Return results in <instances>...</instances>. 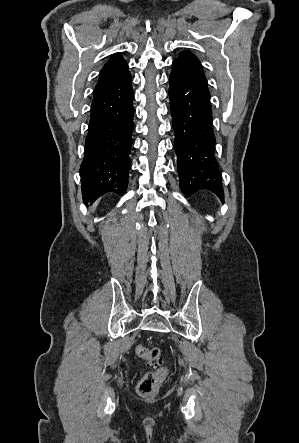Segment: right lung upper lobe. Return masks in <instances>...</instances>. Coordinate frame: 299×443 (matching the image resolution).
<instances>
[{
	"instance_id": "1",
	"label": "right lung upper lobe",
	"mask_w": 299,
	"mask_h": 443,
	"mask_svg": "<svg viewBox=\"0 0 299 443\" xmlns=\"http://www.w3.org/2000/svg\"><path fill=\"white\" fill-rule=\"evenodd\" d=\"M127 69L128 65L123 57L120 53H115L102 68L94 94L99 93L129 73Z\"/></svg>"
}]
</instances>
